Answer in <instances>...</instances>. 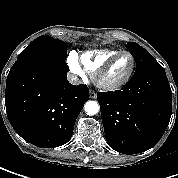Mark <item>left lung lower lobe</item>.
<instances>
[{
    "label": "left lung lower lobe",
    "mask_w": 178,
    "mask_h": 178,
    "mask_svg": "<svg viewBox=\"0 0 178 178\" xmlns=\"http://www.w3.org/2000/svg\"><path fill=\"white\" fill-rule=\"evenodd\" d=\"M97 101L107 143L123 154L152 148L172 113V91L163 68L133 76L120 91L99 92Z\"/></svg>",
    "instance_id": "left-lung-lower-lobe-1"
}]
</instances>
